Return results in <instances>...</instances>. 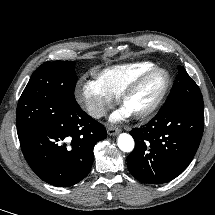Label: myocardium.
Listing matches in <instances>:
<instances>
[{
  "mask_svg": "<svg viewBox=\"0 0 215 215\" xmlns=\"http://www.w3.org/2000/svg\"><path fill=\"white\" fill-rule=\"evenodd\" d=\"M157 73L164 75V83L152 103L147 108L131 114L132 118H134L135 120H147L158 111V109L164 102L172 84V77L170 72L163 67L153 66L152 68L148 69L147 71L143 72L138 77L133 79L120 93V102L124 107L129 97L134 94L151 76Z\"/></svg>",
  "mask_w": 215,
  "mask_h": 215,
  "instance_id": "1",
  "label": "myocardium"
}]
</instances>
